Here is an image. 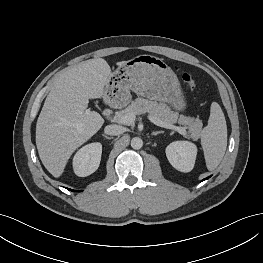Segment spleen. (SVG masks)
I'll use <instances>...</instances> for the list:
<instances>
[{
    "label": "spleen",
    "instance_id": "3e777b00",
    "mask_svg": "<svg viewBox=\"0 0 263 263\" xmlns=\"http://www.w3.org/2000/svg\"><path fill=\"white\" fill-rule=\"evenodd\" d=\"M201 145L207 169L212 171L222 161L227 148L226 120L217 102L211 104L208 125L201 133Z\"/></svg>",
    "mask_w": 263,
    "mask_h": 263
}]
</instances>
